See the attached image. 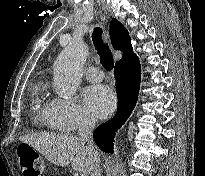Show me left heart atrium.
Masks as SVG:
<instances>
[{"label": "left heart atrium", "mask_w": 205, "mask_h": 176, "mask_svg": "<svg viewBox=\"0 0 205 176\" xmlns=\"http://www.w3.org/2000/svg\"><path fill=\"white\" fill-rule=\"evenodd\" d=\"M83 98L88 110L96 117L105 118L115 108L116 97L112 90L104 85H92L84 90Z\"/></svg>", "instance_id": "1"}]
</instances>
